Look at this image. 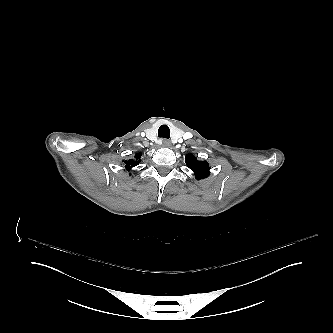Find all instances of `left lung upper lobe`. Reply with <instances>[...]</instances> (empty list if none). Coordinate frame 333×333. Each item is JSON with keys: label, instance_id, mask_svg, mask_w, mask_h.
<instances>
[{"label": "left lung upper lobe", "instance_id": "1", "mask_svg": "<svg viewBox=\"0 0 333 333\" xmlns=\"http://www.w3.org/2000/svg\"><path fill=\"white\" fill-rule=\"evenodd\" d=\"M186 165L194 172L196 179H203L209 175V164L206 161H198L192 154L185 156Z\"/></svg>", "mask_w": 333, "mask_h": 333}]
</instances>
